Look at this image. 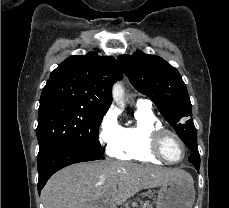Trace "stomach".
<instances>
[{"mask_svg": "<svg viewBox=\"0 0 229 208\" xmlns=\"http://www.w3.org/2000/svg\"><path fill=\"white\" fill-rule=\"evenodd\" d=\"M156 208H192L195 200L193 182L173 180L157 192Z\"/></svg>", "mask_w": 229, "mask_h": 208, "instance_id": "1", "label": "stomach"}]
</instances>
